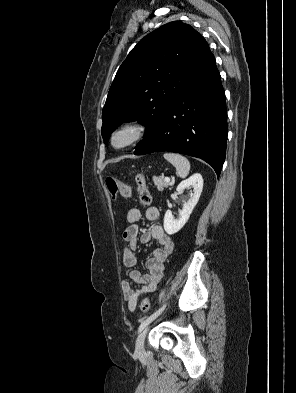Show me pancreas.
Segmentation results:
<instances>
[{"label":"pancreas","instance_id":"pancreas-1","mask_svg":"<svg viewBox=\"0 0 296 393\" xmlns=\"http://www.w3.org/2000/svg\"><path fill=\"white\" fill-rule=\"evenodd\" d=\"M153 181L159 191H163L165 187H168L171 184L163 177H153Z\"/></svg>","mask_w":296,"mask_h":393}]
</instances>
